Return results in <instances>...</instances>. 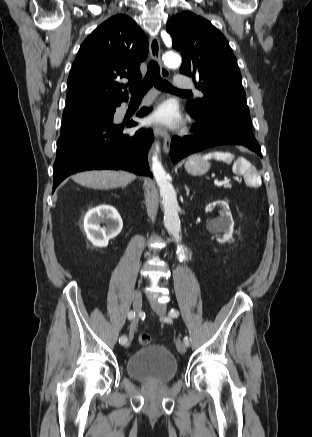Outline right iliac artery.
Segmentation results:
<instances>
[{"instance_id": "1", "label": "right iliac artery", "mask_w": 312, "mask_h": 437, "mask_svg": "<svg viewBox=\"0 0 312 437\" xmlns=\"http://www.w3.org/2000/svg\"><path fill=\"white\" fill-rule=\"evenodd\" d=\"M134 317H135V312H133V311L128 312L129 319H133ZM126 341H127V337L124 335L119 338V343H121V344H125Z\"/></svg>"}]
</instances>
